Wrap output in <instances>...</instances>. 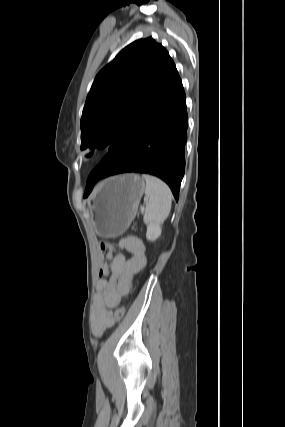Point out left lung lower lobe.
<instances>
[{
    "label": "left lung lower lobe",
    "instance_id": "1",
    "mask_svg": "<svg viewBox=\"0 0 285 427\" xmlns=\"http://www.w3.org/2000/svg\"><path fill=\"white\" fill-rule=\"evenodd\" d=\"M181 79L172 61L143 110L87 179L84 197L102 178L125 172L155 175L176 200L185 171L188 116Z\"/></svg>",
    "mask_w": 285,
    "mask_h": 427
}]
</instances>
